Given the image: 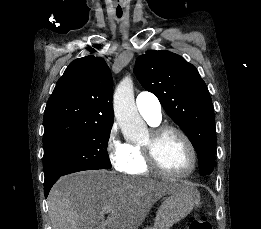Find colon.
<instances>
[{
  "instance_id": "1",
  "label": "colon",
  "mask_w": 261,
  "mask_h": 229,
  "mask_svg": "<svg viewBox=\"0 0 261 229\" xmlns=\"http://www.w3.org/2000/svg\"><path fill=\"white\" fill-rule=\"evenodd\" d=\"M187 229H212V225L204 215L193 216L188 221Z\"/></svg>"
}]
</instances>
